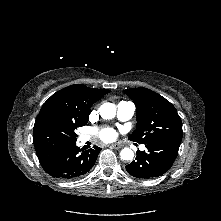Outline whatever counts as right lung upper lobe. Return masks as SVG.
I'll list each match as a JSON object with an SVG mask.
<instances>
[{"instance_id":"obj_1","label":"right lung upper lobe","mask_w":221,"mask_h":221,"mask_svg":"<svg viewBox=\"0 0 221 221\" xmlns=\"http://www.w3.org/2000/svg\"><path fill=\"white\" fill-rule=\"evenodd\" d=\"M109 92L108 89L88 88L85 85L74 84L53 94L43 104L40 112L58 111L75 119L88 121L91 106Z\"/></svg>"}]
</instances>
